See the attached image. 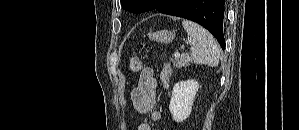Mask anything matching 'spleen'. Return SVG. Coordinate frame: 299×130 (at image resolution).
Listing matches in <instances>:
<instances>
[{"instance_id":"obj_1","label":"spleen","mask_w":299,"mask_h":130,"mask_svg":"<svg viewBox=\"0 0 299 130\" xmlns=\"http://www.w3.org/2000/svg\"><path fill=\"white\" fill-rule=\"evenodd\" d=\"M182 25L188 34L191 45V60L196 64L216 67L220 58V47L214 37L202 26L189 20H183Z\"/></svg>"}]
</instances>
